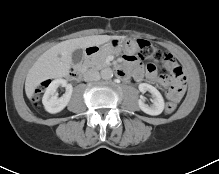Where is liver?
<instances>
[{
    "mask_svg": "<svg viewBox=\"0 0 219 174\" xmlns=\"http://www.w3.org/2000/svg\"><path fill=\"white\" fill-rule=\"evenodd\" d=\"M124 38L125 36L93 35L66 40L51 47L37 59L27 74V97L31 99L35 89L43 81L67 76L72 66V53L76 49L100 46L112 39Z\"/></svg>",
    "mask_w": 219,
    "mask_h": 174,
    "instance_id": "obj_1",
    "label": "liver"
}]
</instances>
